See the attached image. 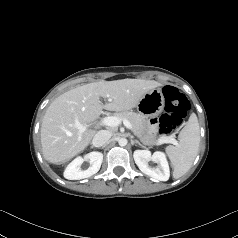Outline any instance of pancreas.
Masks as SVG:
<instances>
[{"instance_id": "pancreas-1", "label": "pancreas", "mask_w": 238, "mask_h": 238, "mask_svg": "<svg viewBox=\"0 0 238 238\" xmlns=\"http://www.w3.org/2000/svg\"><path fill=\"white\" fill-rule=\"evenodd\" d=\"M114 116L122 120H128L132 125V131L134 134L147 143L145 138L142 136L145 121V118L142 115L132 111H122L115 113Z\"/></svg>"}]
</instances>
